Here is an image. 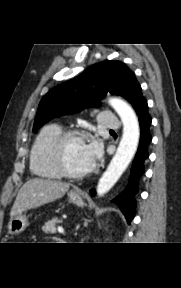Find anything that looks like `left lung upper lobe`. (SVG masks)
<instances>
[{"label":"left lung upper lobe","mask_w":181,"mask_h":288,"mask_svg":"<svg viewBox=\"0 0 181 288\" xmlns=\"http://www.w3.org/2000/svg\"><path fill=\"white\" fill-rule=\"evenodd\" d=\"M141 89L134 73L120 61L107 60L49 91L40 101L33 132L53 118L99 106L108 92L130 103Z\"/></svg>","instance_id":"obj_1"}]
</instances>
